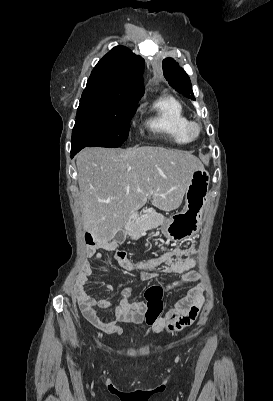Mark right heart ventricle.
I'll list each match as a JSON object with an SVG mask.
<instances>
[{"mask_svg": "<svg viewBox=\"0 0 273 401\" xmlns=\"http://www.w3.org/2000/svg\"><path fill=\"white\" fill-rule=\"evenodd\" d=\"M150 117L146 126L155 134L161 135L178 145L190 142L185 133L190 121L184 105L174 96L163 95L148 107Z\"/></svg>", "mask_w": 273, "mask_h": 401, "instance_id": "right-heart-ventricle-1", "label": "right heart ventricle"}]
</instances>
